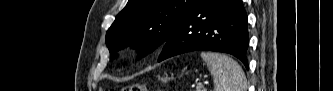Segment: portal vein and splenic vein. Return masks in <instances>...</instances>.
Wrapping results in <instances>:
<instances>
[{"mask_svg":"<svg viewBox=\"0 0 333 91\" xmlns=\"http://www.w3.org/2000/svg\"><path fill=\"white\" fill-rule=\"evenodd\" d=\"M204 86V84H199V85H197V89H200V88H202Z\"/></svg>","mask_w":333,"mask_h":91,"instance_id":"18ae733b","label":"portal vein and splenic vein"}]
</instances>
